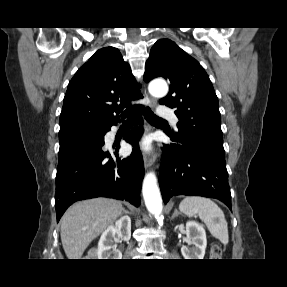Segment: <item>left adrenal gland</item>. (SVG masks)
<instances>
[{"mask_svg": "<svg viewBox=\"0 0 287 287\" xmlns=\"http://www.w3.org/2000/svg\"><path fill=\"white\" fill-rule=\"evenodd\" d=\"M179 214H181V213L178 211L177 208H175V209H174V213H173V215H172V218L178 216Z\"/></svg>", "mask_w": 287, "mask_h": 287, "instance_id": "1", "label": "left adrenal gland"}]
</instances>
